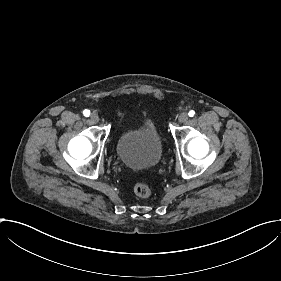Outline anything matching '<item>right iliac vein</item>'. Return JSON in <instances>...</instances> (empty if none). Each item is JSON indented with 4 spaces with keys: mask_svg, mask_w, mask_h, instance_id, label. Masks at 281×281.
<instances>
[{
    "mask_svg": "<svg viewBox=\"0 0 281 281\" xmlns=\"http://www.w3.org/2000/svg\"><path fill=\"white\" fill-rule=\"evenodd\" d=\"M90 119L94 124H97L99 122V116L96 113L91 114Z\"/></svg>",
    "mask_w": 281,
    "mask_h": 281,
    "instance_id": "obj_1",
    "label": "right iliac vein"
}]
</instances>
